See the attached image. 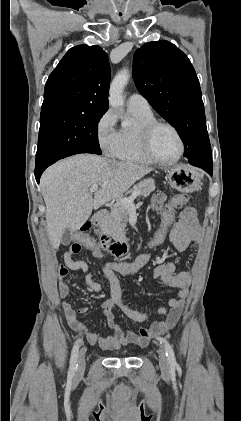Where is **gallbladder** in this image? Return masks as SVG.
Here are the masks:
<instances>
[{
  "mask_svg": "<svg viewBox=\"0 0 241 421\" xmlns=\"http://www.w3.org/2000/svg\"><path fill=\"white\" fill-rule=\"evenodd\" d=\"M72 240V231L69 228H66L63 232L61 242L63 245L70 244Z\"/></svg>",
  "mask_w": 241,
  "mask_h": 421,
  "instance_id": "gallbladder-1",
  "label": "gallbladder"
}]
</instances>
